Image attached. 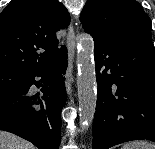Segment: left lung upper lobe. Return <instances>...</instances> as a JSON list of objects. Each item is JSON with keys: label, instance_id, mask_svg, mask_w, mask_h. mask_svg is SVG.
Here are the masks:
<instances>
[{"label": "left lung upper lobe", "instance_id": "1", "mask_svg": "<svg viewBox=\"0 0 155 149\" xmlns=\"http://www.w3.org/2000/svg\"><path fill=\"white\" fill-rule=\"evenodd\" d=\"M80 20L95 43L151 39L152 22L135 0H88Z\"/></svg>", "mask_w": 155, "mask_h": 149}]
</instances>
